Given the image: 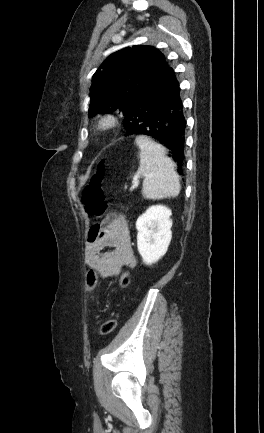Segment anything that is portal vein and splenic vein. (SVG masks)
Returning a JSON list of instances; mask_svg holds the SVG:
<instances>
[{
  "label": "portal vein and splenic vein",
  "mask_w": 264,
  "mask_h": 433,
  "mask_svg": "<svg viewBox=\"0 0 264 433\" xmlns=\"http://www.w3.org/2000/svg\"><path fill=\"white\" fill-rule=\"evenodd\" d=\"M138 187V181H134L133 185L131 186L130 190H134L135 188Z\"/></svg>",
  "instance_id": "portal-vein-and-splenic-vein-1"
}]
</instances>
